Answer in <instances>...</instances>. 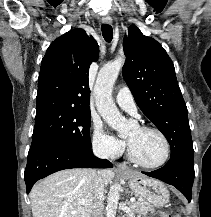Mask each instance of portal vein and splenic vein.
I'll return each instance as SVG.
<instances>
[{
  "mask_svg": "<svg viewBox=\"0 0 211 217\" xmlns=\"http://www.w3.org/2000/svg\"><path fill=\"white\" fill-rule=\"evenodd\" d=\"M130 201H131L132 203H134V202L136 201V199H135L134 197H132V198L130 199Z\"/></svg>",
  "mask_w": 211,
  "mask_h": 217,
  "instance_id": "obj_1",
  "label": "portal vein and splenic vein"
}]
</instances>
